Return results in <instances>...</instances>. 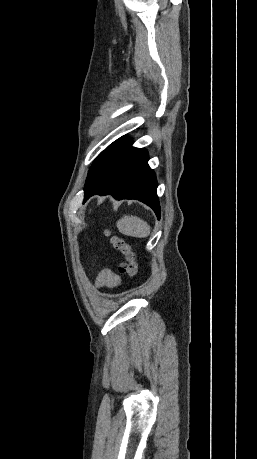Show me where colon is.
Masks as SVG:
<instances>
[{"label": "colon", "mask_w": 257, "mask_h": 459, "mask_svg": "<svg viewBox=\"0 0 257 459\" xmlns=\"http://www.w3.org/2000/svg\"><path fill=\"white\" fill-rule=\"evenodd\" d=\"M113 247L122 255L119 271L123 275L134 276L137 272L136 253L131 244L121 237L112 239Z\"/></svg>", "instance_id": "obj_1"}]
</instances>
